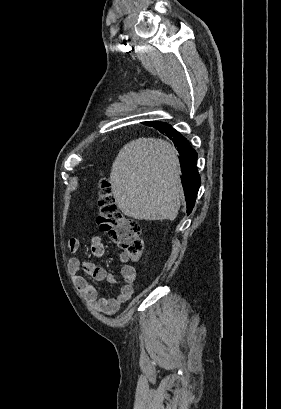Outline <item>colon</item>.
I'll use <instances>...</instances> for the list:
<instances>
[{"instance_id": "colon-1", "label": "colon", "mask_w": 281, "mask_h": 409, "mask_svg": "<svg viewBox=\"0 0 281 409\" xmlns=\"http://www.w3.org/2000/svg\"><path fill=\"white\" fill-rule=\"evenodd\" d=\"M96 223L114 239L122 252L123 258L139 261L143 254V240L140 225L117 207L111 188H100L96 201Z\"/></svg>"}]
</instances>
